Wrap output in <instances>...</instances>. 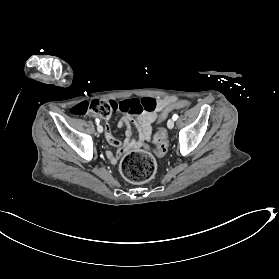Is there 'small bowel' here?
<instances>
[{"label":"small bowel","mask_w":279,"mask_h":279,"mask_svg":"<svg viewBox=\"0 0 279 279\" xmlns=\"http://www.w3.org/2000/svg\"><path fill=\"white\" fill-rule=\"evenodd\" d=\"M170 102H173L171 98L161 97L157 99V107L152 112H144L136 116V118H133L129 114H124L118 122L119 128H125L126 139L123 141L113 136L110 125L106 123L105 138L110 145L118 148L116 153H112L111 151L106 152L108 159L111 162L115 163L117 162L119 157L125 152V150L136 148L138 146L143 145L146 141H149L151 139L152 134L151 124L157 119L158 112H160ZM132 123H135V125L138 128V139L132 138Z\"/></svg>","instance_id":"1"}]
</instances>
